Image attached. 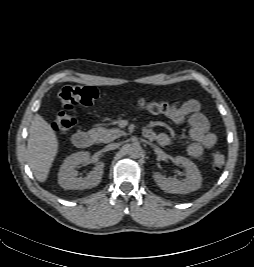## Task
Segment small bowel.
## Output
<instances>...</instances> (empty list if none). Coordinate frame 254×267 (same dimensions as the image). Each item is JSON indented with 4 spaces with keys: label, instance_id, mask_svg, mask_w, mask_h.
Masks as SVG:
<instances>
[{
    "label": "small bowel",
    "instance_id": "c3829d8e",
    "mask_svg": "<svg viewBox=\"0 0 254 267\" xmlns=\"http://www.w3.org/2000/svg\"><path fill=\"white\" fill-rule=\"evenodd\" d=\"M167 117L177 124L184 122L189 124V136L192 143L188 146L187 151L191 157L199 158L205 150L211 149L216 144V135L210 131L208 120L201 112V105L197 100L190 99L175 105L167 113ZM146 131L152 135L151 140H156L160 145L169 146L172 144V139L168 134H156L151 129Z\"/></svg>",
    "mask_w": 254,
    "mask_h": 267
}]
</instances>
